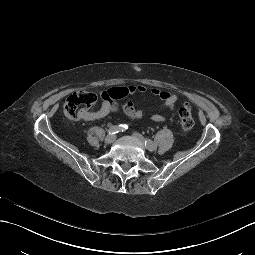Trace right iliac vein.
Instances as JSON below:
<instances>
[{"label": "right iliac vein", "instance_id": "1", "mask_svg": "<svg viewBox=\"0 0 255 255\" xmlns=\"http://www.w3.org/2000/svg\"><path fill=\"white\" fill-rule=\"evenodd\" d=\"M116 139V136L113 134V135H108L106 138H105V143L106 144H111L115 141Z\"/></svg>", "mask_w": 255, "mask_h": 255}]
</instances>
